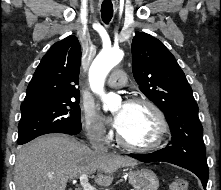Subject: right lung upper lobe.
Wrapping results in <instances>:
<instances>
[{"mask_svg": "<svg viewBox=\"0 0 221 190\" xmlns=\"http://www.w3.org/2000/svg\"><path fill=\"white\" fill-rule=\"evenodd\" d=\"M81 47L76 36L56 42L44 55L27 87L21 105L79 98Z\"/></svg>", "mask_w": 221, "mask_h": 190, "instance_id": "obj_1", "label": "right lung upper lobe"}]
</instances>
